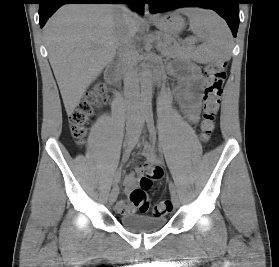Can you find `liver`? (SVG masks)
I'll return each mask as SVG.
<instances>
[{
	"label": "liver",
	"mask_w": 279,
	"mask_h": 267,
	"mask_svg": "<svg viewBox=\"0 0 279 267\" xmlns=\"http://www.w3.org/2000/svg\"><path fill=\"white\" fill-rule=\"evenodd\" d=\"M121 14L111 4H69L46 23L43 33L48 58L67 115L73 114L87 88L114 58L116 30ZM139 30L141 19L132 14Z\"/></svg>",
	"instance_id": "1"
}]
</instances>
